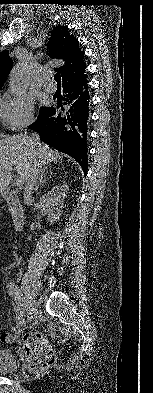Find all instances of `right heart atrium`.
<instances>
[{
  "instance_id": "obj_1",
  "label": "right heart atrium",
  "mask_w": 153,
  "mask_h": 393,
  "mask_svg": "<svg viewBox=\"0 0 153 393\" xmlns=\"http://www.w3.org/2000/svg\"><path fill=\"white\" fill-rule=\"evenodd\" d=\"M33 117L32 102L26 98L13 99L0 110V119L13 131L29 125Z\"/></svg>"
}]
</instances>
